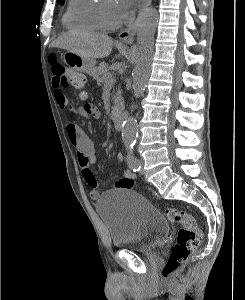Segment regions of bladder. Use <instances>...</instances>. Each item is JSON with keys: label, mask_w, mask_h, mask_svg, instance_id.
I'll list each match as a JSON object with an SVG mask.
<instances>
[{"label": "bladder", "mask_w": 245, "mask_h": 300, "mask_svg": "<svg viewBox=\"0 0 245 300\" xmlns=\"http://www.w3.org/2000/svg\"><path fill=\"white\" fill-rule=\"evenodd\" d=\"M96 209L107 227L113 248L151 253L169 234V224L142 195L128 190L105 192Z\"/></svg>", "instance_id": "31cf9c89"}]
</instances>
